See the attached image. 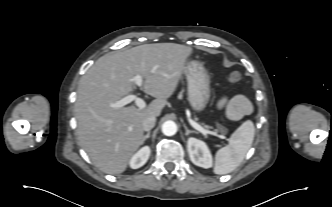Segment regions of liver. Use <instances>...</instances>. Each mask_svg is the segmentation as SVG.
<instances>
[{"label": "liver", "instance_id": "liver-1", "mask_svg": "<svg viewBox=\"0 0 332 207\" xmlns=\"http://www.w3.org/2000/svg\"><path fill=\"white\" fill-rule=\"evenodd\" d=\"M191 54L192 48L181 44L140 45L100 57L82 76L74 107L77 134L96 167L107 174L126 170L144 142V119L160 116ZM136 75L144 79V92L156 99L143 109L113 107L134 90L132 78Z\"/></svg>", "mask_w": 332, "mask_h": 207}]
</instances>
